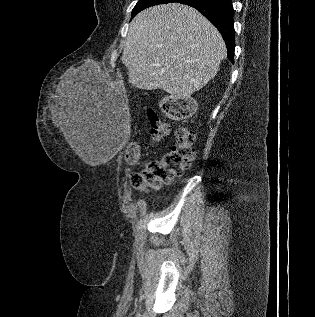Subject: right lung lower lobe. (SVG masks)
<instances>
[{"mask_svg":"<svg viewBox=\"0 0 315 317\" xmlns=\"http://www.w3.org/2000/svg\"><path fill=\"white\" fill-rule=\"evenodd\" d=\"M201 12L221 33L226 46L228 59L234 62L235 30L233 7L230 0H178Z\"/></svg>","mask_w":315,"mask_h":317,"instance_id":"obj_1","label":"right lung lower lobe"}]
</instances>
